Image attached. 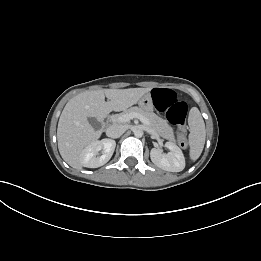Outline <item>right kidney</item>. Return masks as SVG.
<instances>
[{"label": "right kidney", "instance_id": "ca27d5eb", "mask_svg": "<svg viewBox=\"0 0 261 261\" xmlns=\"http://www.w3.org/2000/svg\"><path fill=\"white\" fill-rule=\"evenodd\" d=\"M116 142L111 139L95 141L86 146L81 154V163L84 167L98 168L106 164L113 155ZM101 151V155L99 152Z\"/></svg>", "mask_w": 261, "mask_h": 261}]
</instances>
